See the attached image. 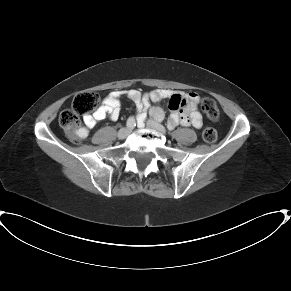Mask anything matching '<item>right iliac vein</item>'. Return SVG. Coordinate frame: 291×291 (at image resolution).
Here are the masks:
<instances>
[{"label":"right iliac vein","mask_w":291,"mask_h":291,"mask_svg":"<svg viewBox=\"0 0 291 291\" xmlns=\"http://www.w3.org/2000/svg\"><path fill=\"white\" fill-rule=\"evenodd\" d=\"M130 129L122 128L118 132V138L119 139H125L130 134Z\"/></svg>","instance_id":"1"}]
</instances>
